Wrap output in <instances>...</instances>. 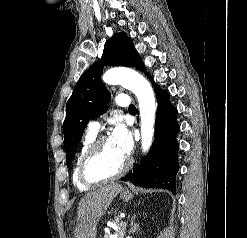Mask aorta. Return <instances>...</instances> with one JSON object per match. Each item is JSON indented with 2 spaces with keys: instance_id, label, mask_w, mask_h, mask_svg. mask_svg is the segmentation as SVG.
Instances as JSON below:
<instances>
[{
  "instance_id": "aorta-1",
  "label": "aorta",
  "mask_w": 247,
  "mask_h": 238,
  "mask_svg": "<svg viewBox=\"0 0 247 238\" xmlns=\"http://www.w3.org/2000/svg\"><path fill=\"white\" fill-rule=\"evenodd\" d=\"M103 81L109 85L120 84L136 95L141 119V146L143 152L146 153L152 145L156 113L155 97L151 85L138 72L126 68L107 71L103 75Z\"/></svg>"
}]
</instances>
